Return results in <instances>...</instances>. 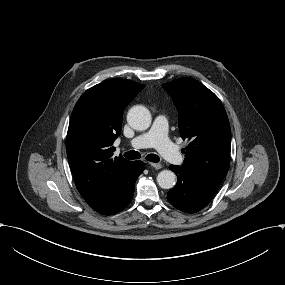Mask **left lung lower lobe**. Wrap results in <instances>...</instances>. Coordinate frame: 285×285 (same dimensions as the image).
Segmentation results:
<instances>
[{
    "mask_svg": "<svg viewBox=\"0 0 285 285\" xmlns=\"http://www.w3.org/2000/svg\"><path fill=\"white\" fill-rule=\"evenodd\" d=\"M169 168L178 176L177 184L168 192V200L175 208L187 213L198 212L216 194L218 187L193 177L180 166Z\"/></svg>",
    "mask_w": 285,
    "mask_h": 285,
    "instance_id": "obj_1",
    "label": "left lung lower lobe"
}]
</instances>
